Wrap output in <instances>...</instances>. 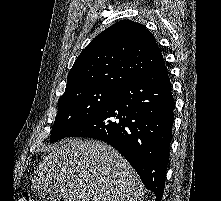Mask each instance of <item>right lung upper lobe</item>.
Here are the masks:
<instances>
[{
	"instance_id": "cb5924a9",
	"label": "right lung upper lobe",
	"mask_w": 221,
	"mask_h": 201,
	"mask_svg": "<svg viewBox=\"0 0 221 201\" xmlns=\"http://www.w3.org/2000/svg\"><path fill=\"white\" fill-rule=\"evenodd\" d=\"M162 63V53L146 27L122 20L81 52L68 74L64 94L93 87L119 90Z\"/></svg>"
}]
</instances>
